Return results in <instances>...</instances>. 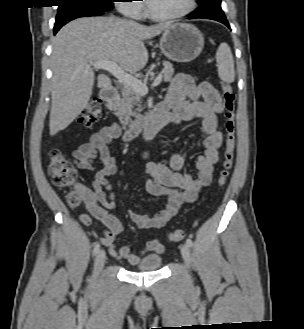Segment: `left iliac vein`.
I'll return each instance as SVG.
<instances>
[{
  "label": "left iliac vein",
  "instance_id": "1",
  "mask_svg": "<svg viewBox=\"0 0 304 329\" xmlns=\"http://www.w3.org/2000/svg\"><path fill=\"white\" fill-rule=\"evenodd\" d=\"M181 254H182L183 260L185 262V265L189 268L190 267V249L187 244H183L181 246Z\"/></svg>",
  "mask_w": 304,
  "mask_h": 329
}]
</instances>
